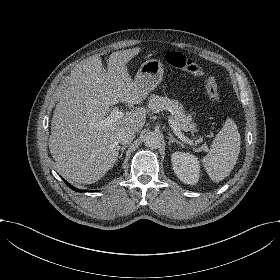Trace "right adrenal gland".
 <instances>
[{
	"mask_svg": "<svg viewBox=\"0 0 280 280\" xmlns=\"http://www.w3.org/2000/svg\"><path fill=\"white\" fill-rule=\"evenodd\" d=\"M126 148H127L126 145H122V146L120 147V154H119L118 159H121V157L123 156V153H124V151L126 150ZM116 162H117V160L115 161V163H116Z\"/></svg>",
	"mask_w": 280,
	"mask_h": 280,
	"instance_id": "obj_1",
	"label": "right adrenal gland"
}]
</instances>
